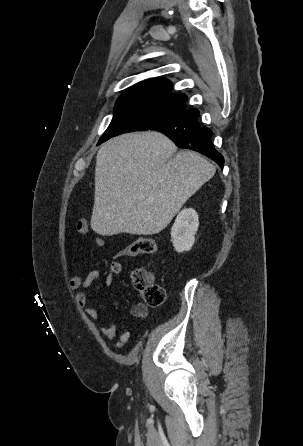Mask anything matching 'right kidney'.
Returning <instances> with one entry per match:
<instances>
[{"instance_id": "obj_1", "label": "right kidney", "mask_w": 303, "mask_h": 446, "mask_svg": "<svg viewBox=\"0 0 303 446\" xmlns=\"http://www.w3.org/2000/svg\"><path fill=\"white\" fill-rule=\"evenodd\" d=\"M198 226V214L194 209L185 208L177 215L171 229V238L178 253L191 250Z\"/></svg>"}]
</instances>
